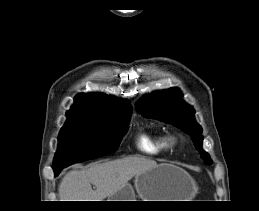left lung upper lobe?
<instances>
[{"instance_id": "obj_1", "label": "left lung upper lobe", "mask_w": 259, "mask_h": 211, "mask_svg": "<svg viewBox=\"0 0 259 211\" xmlns=\"http://www.w3.org/2000/svg\"><path fill=\"white\" fill-rule=\"evenodd\" d=\"M138 112L144 117L156 118L171 123L189 134L202 159L212 163L209 155L202 149V128L195 121L194 109L183 102L182 94L177 88L149 95L138 104Z\"/></svg>"}]
</instances>
